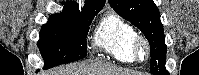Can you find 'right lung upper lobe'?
Returning a JSON list of instances; mask_svg holds the SVG:
<instances>
[{
  "instance_id": "right-lung-upper-lobe-1",
  "label": "right lung upper lobe",
  "mask_w": 199,
  "mask_h": 75,
  "mask_svg": "<svg viewBox=\"0 0 199 75\" xmlns=\"http://www.w3.org/2000/svg\"><path fill=\"white\" fill-rule=\"evenodd\" d=\"M105 5V0H86L81 11L78 9L77 3L67 1L63 12L77 14L80 16H95Z\"/></svg>"
}]
</instances>
